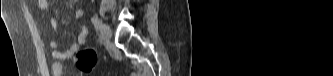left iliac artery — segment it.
<instances>
[{
  "label": "left iliac artery",
  "mask_w": 333,
  "mask_h": 76,
  "mask_svg": "<svg viewBox=\"0 0 333 76\" xmlns=\"http://www.w3.org/2000/svg\"><path fill=\"white\" fill-rule=\"evenodd\" d=\"M91 21H92L93 25H94L96 28H98V27L100 26V20H99V18H98L97 16H93V17L91 18Z\"/></svg>",
  "instance_id": "left-iliac-artery-1"
}]
</instances>
